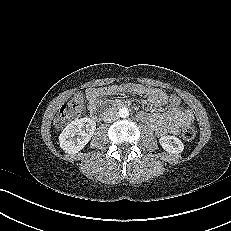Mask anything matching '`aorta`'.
Instances as JSON below:
<instances>
[{"mask_svg": "<svg viewBox=\"0 0 231 231\" xmlns=\"http://www.w3.org/2000/svg\"><path fill=\"white\" fill-rule=\"evenodd\" d=\"M118 114L121 118H126L129 116V110L126 107L120 108Z\"/></svg>", "mask_w": 231, "mask_h": 231, "instance_id": "obj_1", "label": "aorta"}]
</instances>
